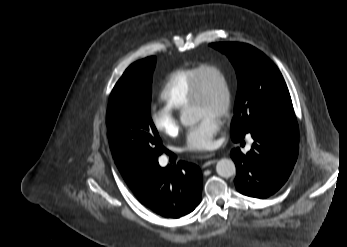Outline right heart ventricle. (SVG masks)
I'll return each mask as SVG.
<instances>
[{
  "label": "right heart ventricle",
  "mask_w": 347,
  "mask_h": 247,
  "mask_svg": "<svg viewBox=\"0 0 347 247\" xmlns=\"http://www.w3.org/2000/svg\"><path fill=\"white\" fill-rule=\"evenodd\" d=\"M198 67L199 65L180 68L166 77L159 96L167 108L182 110L188 107Z\"/></svg>",
  "instance_id": "obj_1"
}]
</instances>
